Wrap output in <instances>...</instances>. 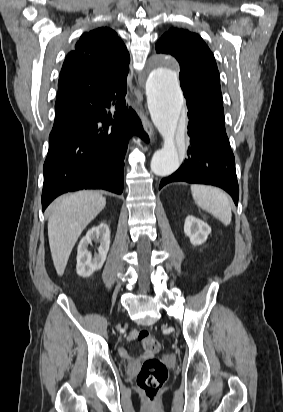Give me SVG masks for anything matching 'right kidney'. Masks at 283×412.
<instances>
[{"label": "right kidney", "instance_id": "ca27d5eb", "mask_svg": "<svg viewBox=\"0 0 283 412\" xmlns=\"http://www.w3.org/2000/svg\"><path fill=\"white\" fill-rule=\"evenodd\" d=\"M92 241L100 243V246L97 248L98 252L95 253L93 257L88 250V245H91ZM109 247L110 231L107 224L101 223L88 230L78 245L76 265L77 274L82 277H89L96 270L101 269L106 260Z\"/></svg>", "mask_w": 283, "mask_h": 412}]
</instances>
